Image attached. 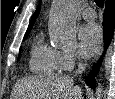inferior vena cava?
I'll return each mask as SVG.
<instances>
[{"mask_svg": "<svg viewBox=\"0 0 115 99\" xmlns=\"http://www.w3.org/2000/svg\"><path fill=\"white\" fill-rule=\"evenodd\" d=\"M85 68H86V63L80 62L78 64V69L76 70L75 74H79V73L83 72L85 70Z\"/></svg>", "mask_w": 115, "mask_h": 99, "instance_id": "inferior-vena-cava-1", "label": "inferior vena cava"}]
</instances>
